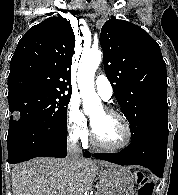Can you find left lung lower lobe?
<instances>
[{
  "instance_id": "1",
  "label": "left lung lower lobe",
  "mask_w": 178,
  "mask_h": 195,
  "mask_svg": "<svg viewBox=\"0 0 178 195\" xmlns=\"http://www.w3.org/2000/svg\"><path fill=\"white\" fill-rule=\"evenodd\" d=\"M169 131L155 132L132 140L119 153L94 154L98 159L120 165H141L162 177L167 157Z\"/></svg>"
}]
</instances>
